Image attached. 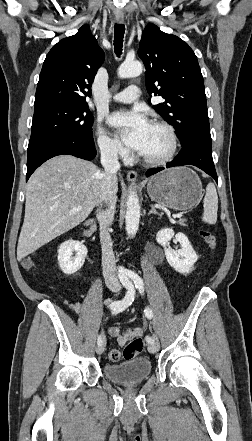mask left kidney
<instances>
[{"instance_id":"5707ae66","label":"left kidney","mask_w":252,"mask_h":441,"mask_svg":"<svg viewBox=\"0 0 252 441\" xmlns=\"http://www.w3.org/2000/svg\"><path fill=\"white\" fill-rule=\"evenodd\" d=\"M175 236L182 248L178 251L167 247L171 238ZM157 243L164 248L165 256L169 265L181 274L189 273L198 260V256L185 234H177L171 228L160 230L156 235Z\"/></svg>"}]
</instances>
